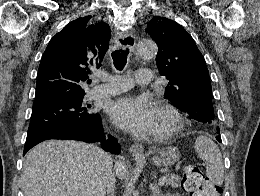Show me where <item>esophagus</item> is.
<instances>
[{
	"label": "esophagus",
	"mask_w": 260,
	"mask_h": 196,
	"mask_svg": "<svg viewBox=\"0 0 260 196\" xmlns=\"http://www.w3.org/2000/svg\"><path fill=\"white\" fill-rule=\"evenodd\" d=\"M123 39L126 40L125 47L130 49L135 47L136 42H135L134 35L132 33L124 34ZM129 151L133 156V158H137V159L145 158L144 147L139 143H134L132 146H130Z\"/></svg>",
	"instance_id": "obj_1"
}]
</instances>
